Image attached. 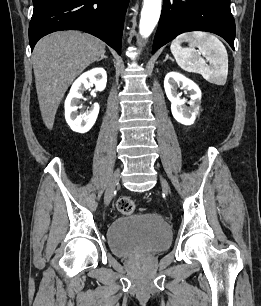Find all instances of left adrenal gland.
<instances>
[{"label":"left adrenal gland","instance_id":"1","mask_svg":"<svg viewBox=\"0 0 261 306\" xmlns=\"http://www.w3.org/2000/svg\"><path fill=\"white\" fill-rule=\"evenodd\" d=\"M168 59H170V60H172V61H173V59H172V58H170L168 55H166V58H165V60H164V61H166V60H168Z\"/></svg>","mask_w":261,"mask_h":306}]
</instances>
